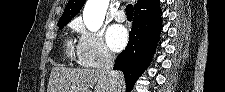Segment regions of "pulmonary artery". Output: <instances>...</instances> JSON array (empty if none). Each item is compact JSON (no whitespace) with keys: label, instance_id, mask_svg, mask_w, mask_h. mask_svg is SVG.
<instances>
[{"label":"pulmonary artery","instance_id":"1","mask_svg":"<svg viewBox=\"0 0 225 92\" xmlns=\"http://www.w3.org/2000/svg\"><path fill=\"white\" fill-rule=\"evenodd\" d=\"M114 19L117 21V22H123L125 20V13L123 11H117L115 14H114Z\"/></svg>","mask_w":225,"mask_h":92}]
</instances>
